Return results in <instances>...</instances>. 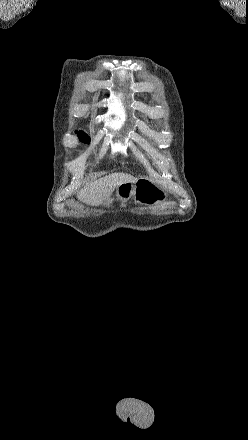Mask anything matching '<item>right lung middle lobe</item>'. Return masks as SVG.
<instances>
[{
    "label": "right lung middle lobe",
    "instance_id": "right-lung-middle-lobe-1",
    "mask_svg": "<svg viewBox=\"0 0 248 440\" xmlns=\"http://www.w3.org/2000/svg\"><path fill=\"white\" fill-rule=\"evenodd\" d=\"M83 142H85V143H89V142H90V138H89V137H85L84 140H83Z\"/></svg>",
    "mask_w": 248,
    "mask_h": 440
}]
</instances>
